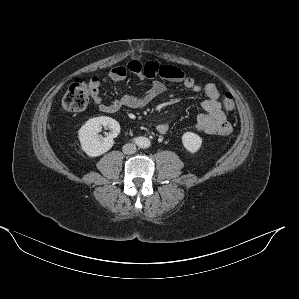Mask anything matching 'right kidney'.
Segmentation results:
<instances>
[{
    "instance_id": "1",
    "label": "right kidney",
    "mask_w": 299,
    "mask_h": 299,
    "mask_svg": "<svg viewBox=\"0 0 299 299\" xmlns=\"http://www.w3.org/2000/svg\"><path fill=\"white\" fill-rule=\"evenodd\" d=\"M102 126L108 127L111 132L102 137L98 135ZM120 133L119 123L107 116L95 117L89 119L79 130L78 138L81 143L82 150L89 157H97L109 151L113 144L114 138Z\"/></svg>"
}]
</instances>
